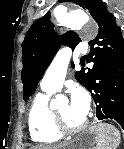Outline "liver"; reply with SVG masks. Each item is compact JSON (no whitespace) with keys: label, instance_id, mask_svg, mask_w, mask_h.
<instances>
[{"label":"liver","instance_id":"liver-1","mask_svg":"<svg viewBox=\"0 0 124 149\" xmlns=\"http://www.w3.org/2000/svg\"><path fill=\"white\" fill-rule=\"evenodd\" d=\"M32 149H62V146L46 147L44 145L35 146Z\"/></svg>","mask_w":124,"mask_h":149}]
</instances>
